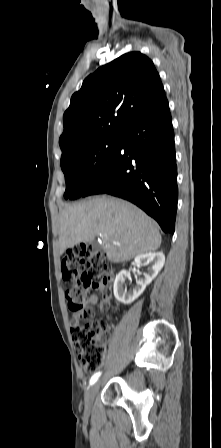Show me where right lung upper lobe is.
Instances as JSON below:
<instances>
[{
  "label": "right lung upper lobe",
  "mask_w": 221,
  "mask_h": 448,
  "mask_svg": "<svg viewBox=\"0 0 221 448\" xmlns=\"http://www.w3.org/2000/svg\"><path fill=\"white\" fill-rule=\"evenodd\" d=\"M165 98L153 62L140 52L100 67L73 94L63 115L62 158L92 140L119 135L132 119Z\"/></svg>",
  "instance_id": "right-lung-upper-lobe-1"
}]
</instances>
